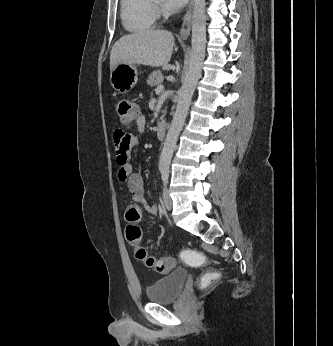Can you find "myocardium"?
Segmentation results:
<instances>
[{
  "label": "myocardium",
  "mask_w": 333,
  "mask_h": 346,
  "mask_svg": "<svg viewBox=\"0 0 333 346\" xmlns=\"http://www.w3.org/2000/svg\"><path fill=\"white\" fill-rule=\"evenodd\" d=\"M152 2H153V5H154V8L158 9V2H157V0H152Z\"/></svg>",
  "instance_id": "myocardium-1"
}]
</instances>
